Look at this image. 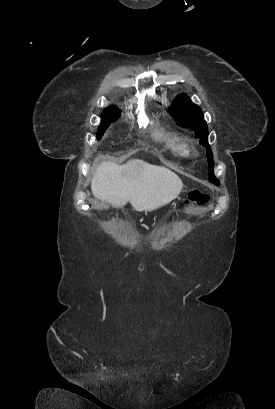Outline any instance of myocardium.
Returning a JSON list of instances; mask_svg holds the SVG:
<instances>
[{"label": "myocardium", "instance_id": "obj_1", "mask_svg": "<svg viewBox=\"0 0 275 409\" xmlns=\"http://www.w3.org/2000/svg\"><path fill=\"white\" fill-rule=\"evenodd\" d=\"M190 150H191V149L188 147V148L186 149V152H187V153H189V152H190Z\"/></svg>", "mask_w": 275, "mask_h": 409}]
</instances>
